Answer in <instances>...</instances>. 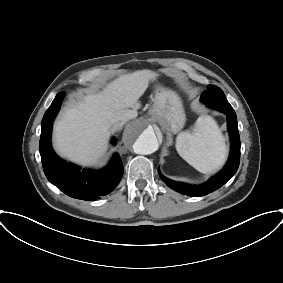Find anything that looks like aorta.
<instances>
[{"instance_id":"1","label":"aorta","mask_w":283,"mask_h":283,"mask_svg":"<svg viewBox=\"0 0 283 283\" xmlns=\"http://www.w3.org/2000/svg\"><path fill=\"white\" fill-rule=\"evenodd\" d=\"M124 143L141 155H149L157 151L158 139L153 126L146 121L130 124L123 135Z\"/></svg>"}]
</instances>
